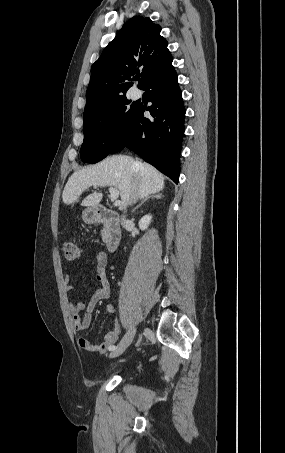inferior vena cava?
Wrapping results in <instances>:
<instances>
[{
  "label": "inferior vena cava",
  "mask_w": 285,
  "mask_h": 453,
  "mask_svg": "<svg viewBox=\"0 0 285 453\" xmlns=\"http://www.w3.org/2000/svg\"><path fill=\"white\" fill-rule=\"evenodd\" d=\"M134 165H135L136 167H139V166L141 165V163H140L139 161L136 160V161L134 162ZM135 195H136V188L134 187V193H133L132 198H131V200H130V202H129L130 205L133 204V203H135V201H136ZM125 222H127V220H126L125 217L123 216V217H122V223H125Z\"/></svg>",
  "instance_id": "602c4592"
}]
</instances>
